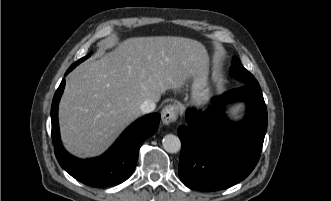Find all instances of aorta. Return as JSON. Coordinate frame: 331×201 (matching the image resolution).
I'll return each instance as SVG.
<instances>
[{
  "mask_svg": "<svg viewBox=\"0 0 331 201\" xmlns=\"http://www.w3.org/2000/svg\"><path fill=\"white\" fill-rule=\"evenodd\" d=\"M162 145L165 151L169 153H177L181 149L180 139L173 134L165 135L162 140Z\"/></svg>",
  "mask_w": 331,
  "mask_h": 201,
  "instance_id": "obj_1",
  "label": "aorta"
}]
</instances>
